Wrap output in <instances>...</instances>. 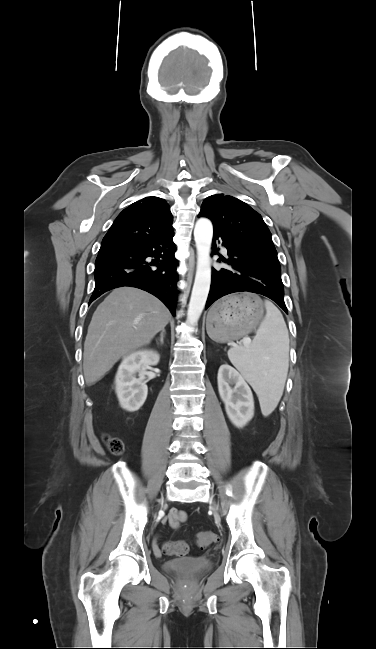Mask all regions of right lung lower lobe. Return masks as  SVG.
Returning a JSON list of instances; mask_svg holds the SVG:
<instances>
[{"instance_id": "right-lung-lower-lobe-1", "label": "right lung lower lobe", "mask_w": 376, "mask_h": 649, "mask_svg": "<svg viewBox=\"0 0 376 649\" xmlns=\"http://www.w3.org/2000/svg\"><path fill=\"white\" fill-rule=\"evenodd\" d=\"M173 236L171 232L127 248L99 253L94 270L95 289L89 304L108 290L131 286L159 298L175 316L178 291ZM147 257L154 259L150 262Z\"/></svg>"}]
</instances>
